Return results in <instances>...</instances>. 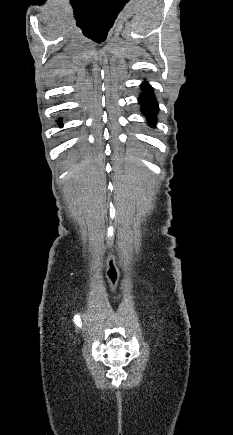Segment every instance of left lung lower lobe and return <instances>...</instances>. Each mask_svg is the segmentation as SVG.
I'll use <instances>...</instances> for the list:
<instances>
[{
	"label": "left lung lower lobe",
	"instance_id": "left-lung-lower-lobe-1",
	"mask_svg": "<svg viewBox=\"0 0 233 435\" xmlns=\"http://www.w3.org/2000/svg\"><path fill=\"white\" fill-rule=\"evenodd\" d=\"M141 90L142 93L139 96L141 105L140 110L143 116H145L150 123L155 125L157 120L158 106L154 96L153 88L149 84L143 83L141 84Z\"/></svg>",
	"mask_w": 233,
	"mask_h": 435
}]
</instances>
